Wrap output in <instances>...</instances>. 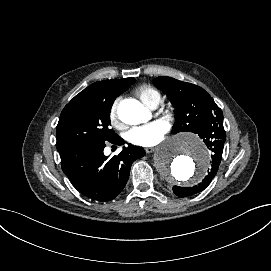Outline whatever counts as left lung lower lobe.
I'll return each mask as SVG.
<instances>
[{
  "instance_id": "obj_1",
  "label": "left lung lower lobe",
  "mask_w": 271,
  "mask_h": 271,
  "mask_svg": "<svg viewBox=\"0 0 271 271\" xmlns=\"http://www.w3.org/2000/svg\"><path fill=\"white\" fill-rule=\"evenodd\" d=\"M199 136L200 138L203 139L207 148L211 150L212 168L208 175L203 179V181L194 187L174 186L173 192L179 197L191 196L204 190L214 178L222 159L224 142L226 140V133L223 127V120L220 123H217V125L212 127L210 130L199 134Z\"/></svg>"
}]
</instances>
